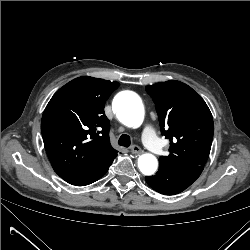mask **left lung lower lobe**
<instances>
[{"label": "left lung lower lobe", "mask_w": 250, "mask_h": 250, "mask_svg": "<svg viewBox=\"0 0 250 250\" xmlns=\"http://www.w3.org/2000/svg\"><path fill=\"white\" fill-rule=\"evenodd\" d=\"M202 170L201 166H159L156 175L145 177V180L155 191L165 195H174L189 187L200 176Z\"/></svg>", "instance_id": "0a47b994"}]
</instances>
